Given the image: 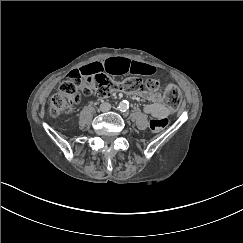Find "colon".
Returning <instances> with one entry per match:
<instances>
[{"mask_svg":"<svg viewBox=\"0 0 243 243\" xmlns=\"http://www.w3.org/2000/svg\"><path fill=\"white\" fill-rule=\"evenodd\" d=\"M161 89L155 79L142 80L138 77H129L124 80H113L102 72L83 73L73 70L60 84L58 91L52 96L49 105V115L53 118L62 114L72 113L83 96L99 95L110 96L116 91L138 93L148 91L156 93ZM182 101L179 89L174 85H167L163 90V102L172 110L177 109ZM168 125L166 118H155L150 121L153 131L159 132Z\"/></svg>","mask_w":243,"mask_h":243,"instance_id":"obj_1","label":"colon"}]
</instances>
